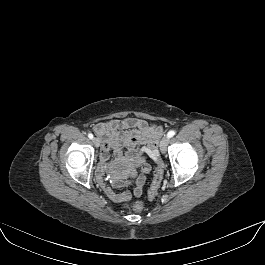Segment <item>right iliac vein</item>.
<instances>
[{
	"instance_id": "obj_1",
	"label": "right iliac vein",
	"mask_w": 265,
	"mask_h": 265,
	"mask_svg": "<svg viewBox=\"0 0 265 265\" xmlns=\"http://www.w3.org/2000/svg\"><path fill=\"white\" fill-rule=\"evenodd\" d=\"M92 142H93V144H94L96 147H99V145H100V140H99L97 137H94V138L92 139Z\"/></svg>"
}]
</instances>
